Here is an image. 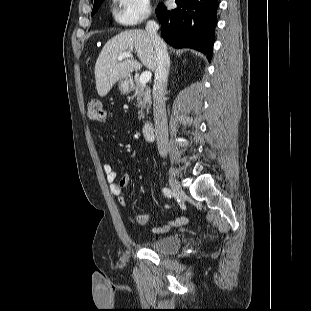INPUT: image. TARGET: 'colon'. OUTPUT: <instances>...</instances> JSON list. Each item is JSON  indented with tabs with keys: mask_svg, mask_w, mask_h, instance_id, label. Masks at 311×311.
<instances>
[{
	"mask_svg": "<svg viewBox=\"0 0 311 311\" xmlns=\"http://www.w3.org/2000/svg\"><path fill=\"white\" fill-rule=\"evenodd\" d=\"M87 116L91 121H101L104 117L102 103L98 99H91L87 104Z\"/></svg>",
	"mask_w": 311,
	"mask_h": 311,
	"instance_id": "colon-1",
	"label": "colon"
}]
</instances>
